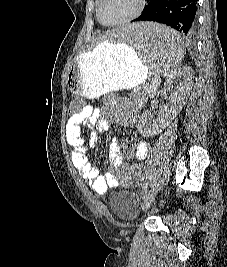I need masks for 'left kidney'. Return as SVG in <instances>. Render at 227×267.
<instances>
[{
  "label": "left kidney",
  "mask_w": 227,
  "mask_h": 267,
  "mask_svg": "<svg viewBox=\"0 0 227 267\" xmlns=\"http://www.w3.org/2000/svg\"><path fill=\"white\" fill-rule=\"evenodd\" d=\"M194 83V71L184 66L174 71V77H166L165 86L170 91L169 104L160 107L156 118L146 110L139 119L138 128L145 136H154L166 128L183 108Z\"/></svg>",
  "instance_id": "5707ae66"
}]
</instances>
